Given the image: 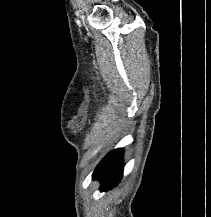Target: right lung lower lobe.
I'll return each instance as SVG.
<instances>
[{
  "instance_id": "1",
  "label": "right lung lower lobe",
  "mask_w": 211,
  "mask_h": 217,
  "mask_svg": "<svg viewBox=\"0 0 211 217\" xmlns=\"http://www.w3.org/2000/svg\"><path fill=\"white\" fill-rule=\"evenodd\" d=\"M122 155V149L113 150L96 167L93 179H100L102 181L101 191L113 188L122 178L124 166Z\"/></svg>"
}]
</instances>
